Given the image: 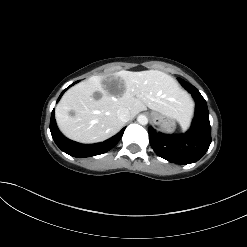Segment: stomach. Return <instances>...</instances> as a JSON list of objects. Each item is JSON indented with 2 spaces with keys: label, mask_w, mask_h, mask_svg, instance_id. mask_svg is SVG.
I'll use <instances>...</instances> for the list:
<instances>
[{
  "label": "stomach",
  "mask_w": 247,
  "mask_h": 247,
  "mask_svg": "<svg viewBox=\"0 0 247 247\" xmlns=\"http://www.w3.org/2000/svg\"><path fill=\"white\" fill-rule=\"evenodd\" d=\"M152 120L155 125L160 126V128L165 132H172L176 127L175 119L164 116L158 112L151 113Z\"/></svg>",
  "instance_id": "0dacf381"
}]
</instances>
